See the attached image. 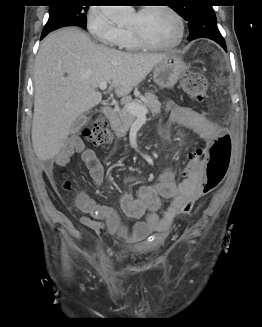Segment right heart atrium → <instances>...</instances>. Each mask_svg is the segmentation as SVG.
<instances>
[{
	"label": "right heart atrium",
	"instance_id": "obj_1",
	"mask_svg": "<svg viewBox=\"0 0 262 327\" xmlns=\"http://www.w3.org/2000/svg\"><path fill=\"white\" fill-rule=\"evenodd\" d=\"M86 25L96 41L107 46H121L124 30L114 23L108 7L92 6L87 13Z\"/></svg>",
	"mask_w": 262,
	"mask_h": 327
}]
</instances>
